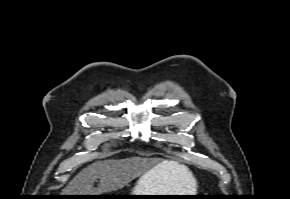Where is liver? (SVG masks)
Segmentation results:
<instances>
[{
	"label": "liver",
	"instance_id": "6515ba94",
	"mask_svg": "<svg viewBox=\"0 0 290 199\" xmlns=\"http://www.w3.org/2000/svg\"><path fill=\"white\" fill-rule=\"evenodd\" d=\"M152 164L151 160L139 157L94 162L82 169L68 183L62 195H101L116 191L136 177L146 174L152 169ZM154 167H158L159 177L169 191L186 190L194 182L188 168L176 161L165 160ZM96 179H100L97 188L94 187Z\"/></svg>",
	"mask_w": 290,
	"mask_h": 199
}]
</instances>
